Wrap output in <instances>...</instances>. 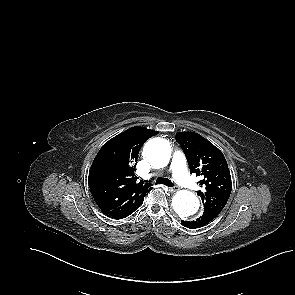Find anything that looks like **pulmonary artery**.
<instances>
[{
	"label": "pulmonary artery",
	"mask_w": 295,
	"mask_h": 295,
	"mask_svg": "<svg viewBox=\"0 0 295 295\" xmlns=\"http://www.w3.org/2000/svg\"><path fill=\"white\" fill-rule=\"evenodd\" d=\"M170 169L173 173L174 179L183 187L197 190L198 185L190 177L186 167L185 156L182 152L177 151L174 153Z\"/></svg>",
	"instance_id": "1"
}]
</instances>
